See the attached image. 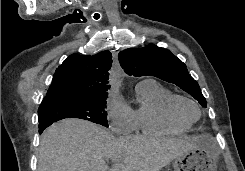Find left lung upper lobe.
I'll return each instance as SVG.
<instances>
[{
	"label": "left lung upper lobe",
	"instance_id": "5c2ea615",
	"mask_svg": "<svg viewBox=\"0 0 245 171\" xmlns=\"http://www.w3.org/2000/svg\"><path fill=\"white\" fill-rule=\"evenodd\" d=\"M118 59L128 75L154 76L173 83L192 95L201 106L207 107L198 83L188 74L186 65L169 50L155 45L128 48L119 53Z\"/></svg>",
	"mask_w": 245,
	"mask_h": 171
}]
</instances>
